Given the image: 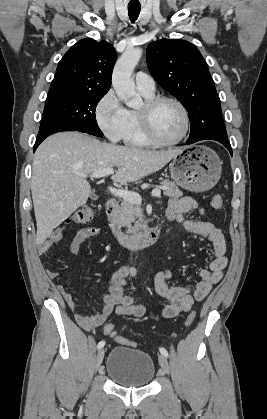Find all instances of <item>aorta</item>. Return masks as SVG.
<instances>
[{
  "label": "aorta",
  "instance_id": "1",
  "mask_svg": "<svg viewBox=\"0 0 267 419\" xmlns=\"http://www.w3.org/2000/svg\"><path fill=\"white\" fill-rule=\"evenodd\" d=\"M141 56L140 48L126 50L117 60L112 74V86L117 96L131 108H139L142 105V98L137 94L131 77Z\"/></svg>",
  "mask_w": 267,
  "mask_h": 419
}]
</instances>
